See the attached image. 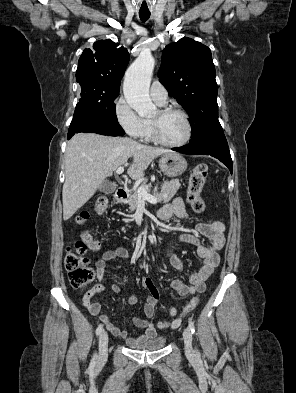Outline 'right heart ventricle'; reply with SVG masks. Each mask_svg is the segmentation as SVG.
<instances>
[{"label": "right heart ventricle", "instance_id": "right-heart-ventricle-1", "mask_svg": "<svg viewBox=\"0 0 296 393\" xmlns=\"http://www.w3.org/2000/svg\"><path fill=\"white\" fill-rule=\"evenodd\" d=\"M145 123H146V133H145V136H144V140L152 141L153 137H152L151 121L150 120H145Z\"/></svg>", "mask_w": 296, "mask_h": 393}]
</instances>
